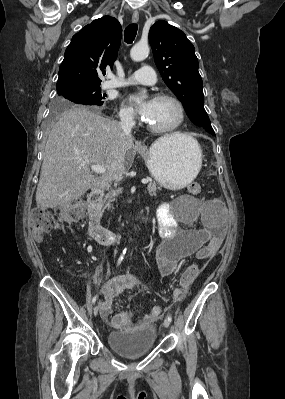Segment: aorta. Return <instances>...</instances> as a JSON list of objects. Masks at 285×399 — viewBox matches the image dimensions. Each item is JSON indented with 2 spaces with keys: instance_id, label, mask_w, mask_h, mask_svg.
<instances>
[{
  "instance_id": "obj_1",
  "label": "aorta",
  "mask_w": 285,
  "mask_h": 399,
  "mask_svg": "<svg viewBox=\"0 0 285 399\" xmlns=\"http://www.w3.org/2000/svg\"><path fill=\"white\" fill-rule=\"evenodd\" d=\"M148 55L149 46L147 43L138 42L132 47L130 51L131 59L136 62L146 59ZM144 97L146 96L144 95Z\"/></svg>"
}]
</instances>
